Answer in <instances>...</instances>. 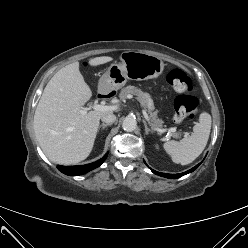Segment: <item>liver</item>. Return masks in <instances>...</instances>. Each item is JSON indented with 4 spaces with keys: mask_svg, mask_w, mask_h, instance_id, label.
I'll return each instance as SVG.
<instances>
[{
    "mask_svg": "<svg viewBox=\"0 0 248 248\" xmlns=\"http://www.w3.org/2000/svg\"><path fill=\"white\" fill-rule=\"evenodd\" d=\"M102 56L89 60L97 66L112 61ZM100 94L109 92L98 89ZM92 91L79 71V62L61 68L47 83L34 115L37 141L49 160L58 164H76L91 153L99 121L112 111H89L81 115L75 110L90 100Z\"/></svg>",
    "mask_w": 248,
    "mask_h": 248,
    "instance_id": "obj_1",
    "label": "liver"
}]
</instances>
